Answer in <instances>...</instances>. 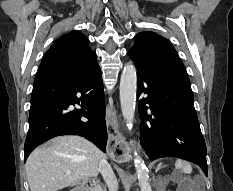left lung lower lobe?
<instances>
[{
    "label": "left lung lower lobe",
    "instance_id": "left-lung-lower-lobe-1",
    "mask_svg": "<svg viewBox=\"0 0 233 191\" xmlns=\"http://www.w3.org/2000/svg\"><path fill=\"white\" fill-rule=\"evenodd\" d=\"M136 68L137 97L147 94L139 101L140 141L145 153L151 160L179 157L191 161L207 176V150L190 84L145 67Z\"/></svg>",
    "mask_w": 233,
    "mask_h": 191
}]
</instances>
